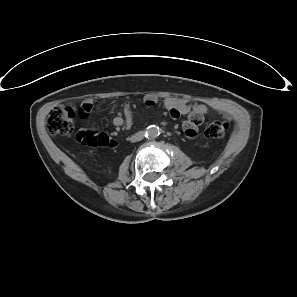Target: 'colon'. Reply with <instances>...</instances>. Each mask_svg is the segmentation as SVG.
Segmentation results:
<instances>
[{"mask_svg":"<svg viewBox=\"0 0 297 297\" xmlns=\"http://www.w3.org/2000/svg\"><path fill=\"white\" fill-rule=\"evenodd\" d=\"M89 106L85 105L80 109L79 113L82 116H85L86 111ZM61 114V117L58 116ZM75 116V110L72 107H63L57 112H53L48 119V128L52 133H69L71 128L69 123ZM228 129V124L226 122H218L211 125L207 129V134L210 136H221L224 135L225 131ZM78 140L83 144L90 146H110L113 147L116 145L111 138L102 134V133H90V132H80L77 136Z\"/></svg>","mask_w":297,"mask_h":297,"instance_id":"colon-1","label":"colon"}]
</instances>
